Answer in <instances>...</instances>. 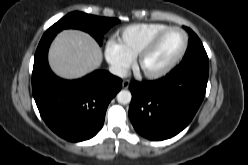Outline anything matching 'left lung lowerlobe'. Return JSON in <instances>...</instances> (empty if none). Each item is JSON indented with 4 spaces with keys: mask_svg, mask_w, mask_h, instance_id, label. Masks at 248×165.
I'll list each match as a JSON object with an SVG mask.
<instances>
[{
    "mask_svg": "<svg viewBox=\"0 0 248 165\" xmlns=\"http://www.w3.org/2000/svg\"><path fill=\"white\" fill-rule=\"evenodd\" d=\"M206 52L196 53L167 76L129 85L132 100L129 118L135 130L145 138L160 141L181 132L201 105L208 81Z\"/></svg>",
    "mask_w": 248,
    "mask_h": 165,
    "instance_id": "obj_1",
    "label": "left lung lower lobe"
}]
</instances>
